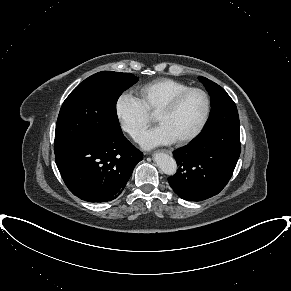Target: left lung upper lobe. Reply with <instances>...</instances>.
I'll list each match as a JSON object with an SVG mask.
<instances>
[{"instance_id": "1", "label": "left lung upper lobe", "mask_w": 291, "mask_h": 291, "mask_svg": "<svg viewBox=\"0 0 291 291\" xmlns=\"http://www.w3.org/2000/svg\"><path fill=\"white\" fill-rule=\"evenodd\" d=\"M198 79L203 83L211 96L212 108L204 129L196 138L203 137L219 128H239V116L236 105L226 91L205 77L200 76Z\"/></svg>"}]
</instances>
